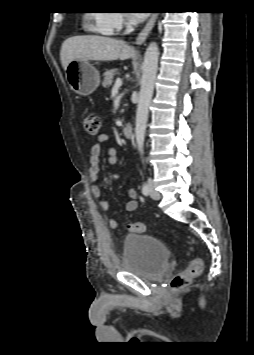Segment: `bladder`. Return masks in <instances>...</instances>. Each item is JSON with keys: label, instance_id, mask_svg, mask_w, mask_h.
<instances>
[{"label": "bladder", "instance_id": "bladder-1", "mask_svg": "<svg viewBox=\"0 0 254 355\" xmlns=\"http://www.w3.org/2000/svg\"><path fill=\"white\" fill-rule=\"evenodd\" d=\"M170 253L159 239L128 235L124 239L123 268L141 277L157 280L168 269Z\"/></svg>", "mask_w": 254, "mask_h": 355}]
</instances>
